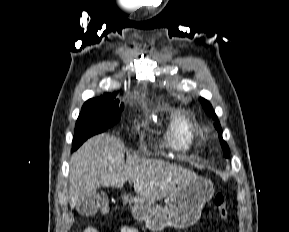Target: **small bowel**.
I'll return each mask as SVG.
<instances>
[{
  "instance_id": "1",
  "label": "small bowel",
  "mask_w": 289,
  "mask_h": 232,
  "mask_svg": "<svg viewBox=\"0 0 289 232\" xmlns=\"http://www.w3.org/2000/svg\"><path fill=\"white\" fill-rule=\"evenodd\" d=\"M84 232H99L95 227H87ZM119 232H140L138 229L131 226H122Z\"/></svg>"
}]
</instances>
